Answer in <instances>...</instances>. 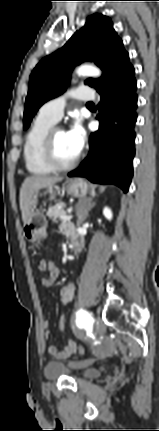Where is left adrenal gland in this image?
Wrapping results in <instances>:
<instances>
[{
	"instance_id": "left-adrenal-gland-1",
	"label": "left adrenal gland",
	"mask_w": 159,
	"mask_h": 431,
	"mask_svg": "<svg viewBox=\"0 0 159 431\" xmlns=\"http://www.w3.org/2000/svg\"><path fill=\"white\" fill-rule=\"evenodd\" d=\"M95 204L96 203L92 201V198H89L86 201L79 200V202L76 206L77 217H78L77 224L78 225H80L81 223H83L86 220V218L88 217L89 211L95 206Z\"/></svg>"
}]
</instances>
